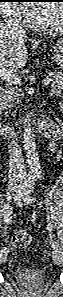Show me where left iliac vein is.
I'll list each match as a JSON object with an SVG mask.
<instances>
[{
  "label": "left iliac vein",
  "instance_id": "left-iliac-vein-1",
  "mask_svg": "<svg viewBox=\"0 0 63 297\" xmlns=\"http://www.w3.org/2000/svg\"><path fill=\"white\" fill-rule=\"evenodd\" d=\"M54 254H56V253H54ZM53 257H54V259L56 260V256L54 255Z\"/></svg>",
  "mask_w": 63,
  "mask_h": 297
}]
</instances>
